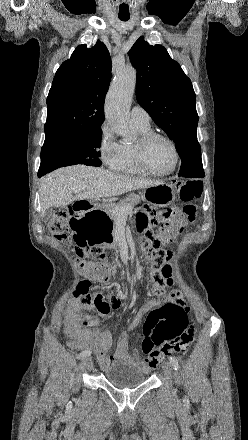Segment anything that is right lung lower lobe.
<instances>
[{
    "instance_id": "obj_1",
    "label": "right lung lower lobe",
    "mask_w": 248,
    "mask_h": 440,
    "mask_svg": "<svg viewBox=\"0 0 248 440\" xmlns=\"http://www.w3.org/2000/svg\"><path fill=\"white\" fill-rule=\"evenodd\" d=\"M41 176H43V175H38V177H41Z\"/></svg>"
}]
</instances>
